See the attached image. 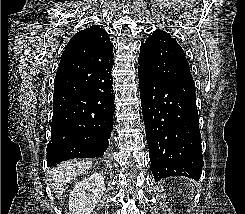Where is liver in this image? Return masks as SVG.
<instances>
[{
	"mask_svg": "<svg viewBox=\"0 0 245 214\" xmlns=\"http://www.w3.org/2000/svg\"><path fill=\"white\" fill-rule=\"evenodd\" d=\"M92 166L90 160H72L61 163L53 168L48 176L55 197L59 199L67 182L83 174Z\"/></svg>",
	"mask_w": 245,
	"mask_h": 214,
	"instance_id": "obj_1",
	"label": "liver"
}]
</instances>
